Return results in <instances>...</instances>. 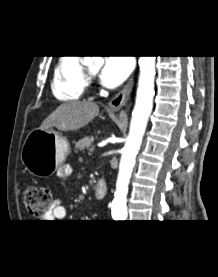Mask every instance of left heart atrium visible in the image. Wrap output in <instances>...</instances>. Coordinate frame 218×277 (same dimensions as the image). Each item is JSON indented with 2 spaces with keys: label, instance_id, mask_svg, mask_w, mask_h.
<instances>
[{
  "label": "left heart atrium",
  "instance_id": "left-heart-atrium-1",
  "mask_svg": "<svg viewBox=\"0 0 218 277\" xmlns=\"http://www.w3.org/2000/svg\"><path fill=\"white\" fill-rule=\"evenodd\" d=\"M131 69L132 62L128 57H106L99 77L105 86L114 88L127 78Z\"/></svg>",
  "mask_w": 218,
  "mask_h": 277
}]
</instances>
